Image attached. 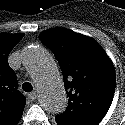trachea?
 I'll use <instances>...</instances> for the list:
<instances>
[{
  "instance_id": "obj_1",
  "label": "trachea",
  "mask_w": 125,
  "mask_h": 125,
  "mask_svg": "<svg viewBox=\"0 0 125 125\" xmlns=\"http://www.w3.org/2000/svg\"><path fill=\"white\" fill-rule=\"evenodd\" d=\"M22 89L25 91V92H31L33 90V86L31 83L29 82H25L23 83L22 85Z\"/></svg>"
}]
</instances>
